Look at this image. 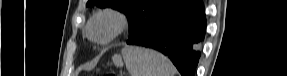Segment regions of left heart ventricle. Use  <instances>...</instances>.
Instances as JSON below:
<instances>
[{"mask_svg":"<svg viewBox=\"0 0 287 76\" xmlns=\"http://www.w3.org/2000/svg\"><path fill=\"white\" fill-rule=\"evenodd\" d=\"M110 28L111 24L108 21H102L93 27V33L97 36H103L110 31Z\"/></svg>","mask_w":287,"mask_h":76,"instance_id":"obj_1","label":"left heart ventricle"}]
</instances>
